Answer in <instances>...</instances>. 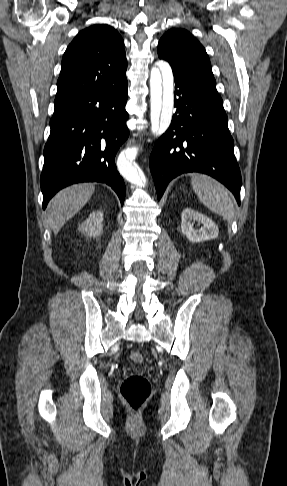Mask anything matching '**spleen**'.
<instances>
[{"label":"spleen","mask_w":287,"mask_h":486,"mask_svg":"<svg viewBox=\"0 0 287 486\" xmlns=\"http://www.w3.org/2000/svg\"><path fill=\"white\" fill-rule=\"evenodd\" d=\"M191 185L199 200L208 209L228 222L233 220V201L228 190L220 182L204 174H194Z\"/></svg>","instance_id":"3e777b00"}]
</instances>
